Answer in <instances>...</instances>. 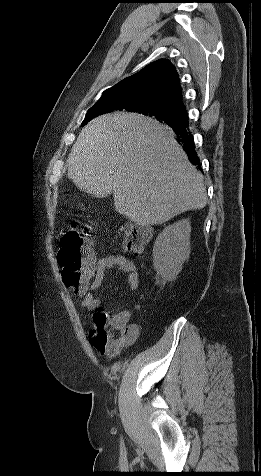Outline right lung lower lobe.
I'll return each instance as SVG.
<instances>
[{"mask_svg":"<svg viewBox=\"0 0 261 476\" xmlns=\"http://www.w3.org/2000/svg\"><path fill=\"white\" fill-rule=\"evenodd\" d=\"M168 125L174 130L175 134L179 138V141L181 142L184 151L187 153L191 163L197 165L198 168L201 170L199 158L197 157V154L195 152L193 137L190 131H188L187 113L185 112V116L179 122H174Z\"/></svg>","mask_w":261,"mask_h":476,"instance_id":"obj_1","label":"right lung lower lobe"}]
</instances>
